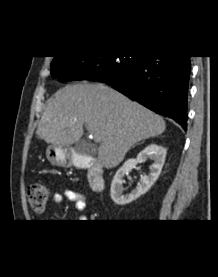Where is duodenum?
Returning a JSON list of instances; mask_svg holds the SVG:
<instances>
[{"instance_id": "obj_1", "label": "duodenum", "mask_w": 218, "mask_h": 277, "mask_svg": "<svg viewBox=\"0 0 218 277\" xmlns=\"http://www.w3.org/2000/svg\"><path fill=\"white\" fill-rule=\"evenodd\" d=\"M73 164L76 168L88 171V184L92 191L101 192L104 190L105 178L103 168L93 157L76 154L73 157Z\"/></svg>"}]
</instances>
